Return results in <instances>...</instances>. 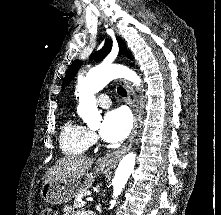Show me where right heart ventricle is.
I'll return each mask as SVG.
<instances>
[{
    "label": "right heart ventricle",
    "instance_id": "right-heart-ventricle-1",
    "mask_svg": "<svg viewBox=\"0 0 221 215\" xmlns=\"http://www.w3.org/2000/svg\"><path fill=\"white\" fill-rule=\"evenodd\" d=\"M90 145L89 130L85 126L71 119L63 125L60 147L64 153L80 155L85 153Z\"/></svg>",
    "mask_w": 221,
    "mask_h": 215
}]
</instances>
